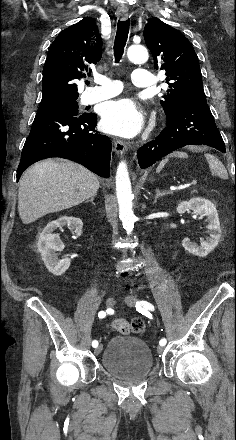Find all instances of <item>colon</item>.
I'll return each mask as SVG.
<instances>
[{
	"mask_svg": "<svg viewBox=\"0 0 236 440\" xmlns=\"http://www.w3.org/2000/svg\"><path fill=\"white\" fill-rule=\"evenodd\" d=\"M145 330V325L141 319H135L128 327V330H124L126 334L128 333H135L140 334L143 333Z\"/></svg>",
	"mask_w": 236,
	"mask_h": 440,
	"instance_id": "obj_1",
	"label": "colon"
}]
</instances>
